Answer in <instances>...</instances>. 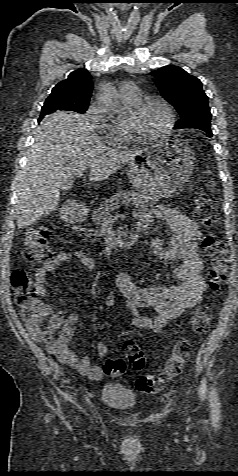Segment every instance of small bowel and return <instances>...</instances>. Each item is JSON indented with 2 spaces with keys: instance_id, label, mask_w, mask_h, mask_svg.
Masks as SVG:
<instances>
[{
  "instance_id": "small-bowel-1",
  "label": "small bowel",
  "mask_w": 238,
  "mask_h": 476,
  "mask_svg": "<svg viewBox=\"0 0 238 476\" xmlns=\"http://www.w3.org/2000/svg\"><path fill=\"white\" fill-rule=\"evenodd\" d=\"M139 220V229L144 231L150 228L155 221H160L168 226L169 239L166 240L162 233L155 236L151 243L153 255L164 262L181 261L172 273L177 279V284L165 286L161 284V274L141 273L139 276H151L154 282L148 286H138L134 283V276L121 272L116 276V287L106 297V305L114 306L118 301L127 311L128 324L133 328H143L153 332H160L172 320L179 317L184 311L197 307L202 300V293L206 289V282L202 275L203 262L199 255L201 231L197 224L180 211L159 205L150 210L140 209L136 212ZM76 258L88 271H93L96 261L84 251L60 252L45 261L35 272V287L39 296L47 294L46 280L48 274L59 266ZM48 311V326L57 330L67 328L78 323L79 316L72 313L67 317ZM141 309L152 310L154 317ZM72 334V331H71ZM100 357H106L108 348L103 342L96 346ZM58 358L80 374L98 381L103 376V369L91 366L87 356L79 357L65 344L62 348L53 351Z\"/></svg>"
}]
</instances>
